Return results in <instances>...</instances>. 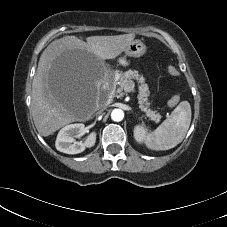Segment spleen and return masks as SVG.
<instances>
[{"instance_id":"spleen-1","label":"spleen","mask_w":227,"mask_h":227,"mask_svg":"<svg viewBox=\"0 0 227 227\" xmlns=\"http://www.w3.org/2000/svg\"><path fill=\"white\" fill-rule=\"evenodd\" d=\"M191 122V106L182 101L161 125L149 133L145 142L151 150H169L181 143Z\"/></svg>"}]
</instances>
